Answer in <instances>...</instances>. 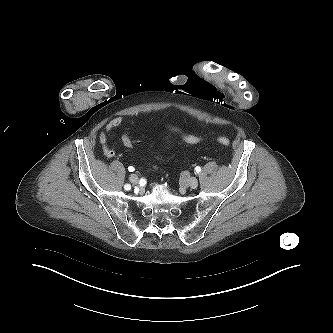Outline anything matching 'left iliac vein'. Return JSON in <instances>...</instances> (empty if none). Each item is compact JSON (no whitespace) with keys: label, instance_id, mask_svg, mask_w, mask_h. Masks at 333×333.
Segmentation results:
<instances>
[{"label":"left iliac vein","instance_id":"1","mask_svg":"<svg viewBox=\"0 0 333 333\" xmlns=\"http://www.w3.org/2000/svg\"><path fill=\"white\" fill-rule=\"evenodd\" d=\"M185 182L192 189H195L198 186V180L195 177H189L185 180Z\"/></svg>","mask_w":333,"mask_h":333}]
</instances>
